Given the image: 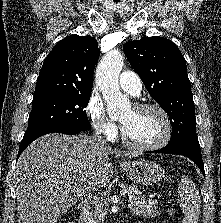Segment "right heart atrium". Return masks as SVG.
Instances as JSON below:
<instances>
[{"label": "right heart atrium", "mask_w": 221, "mask_h": 223, "mask_svg": "<svg viewBox=\"0 0 221 223\" xmlns=\"http://www.w3.org/2000/svg\"><path fill=\"white\" fill-rule=\"evenodd\" d=\"M85 111L97 134L107 138H113L117 134L116 124L106 116L104 105L97 97L91 96L88 99Z\"/></svg>", "instance_id": "obj_1"}]
</instances>
